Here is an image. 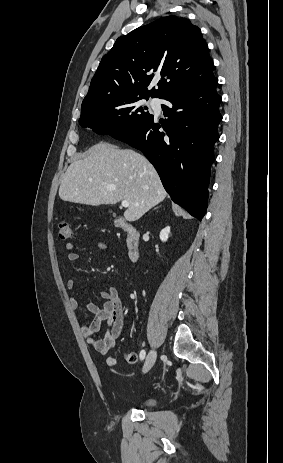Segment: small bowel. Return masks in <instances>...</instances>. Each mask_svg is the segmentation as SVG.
<instances>
[{"instance_id": "c3829d8e", "label": "small bowel", "mask_w": 283, "mask_h": 463, "mask_svg": "<svg viewBox=\"0 0 283 463\" xmlns=\"http://www.w3.org/2000/svg\"><path fill=\"white\" fill-rule=\"evenodd\" d=\"M97 246L101 250H107L108 245L103 241H98ZM67 259L69 262H76L78 254L74 251V246L71 243L66 244ZM67 287L70 290L75 289L76 280L69 279ZM102 303L100 305L87 302L85 309L92 313V318L83 323L81 331L86 339V342L100 355H108L113 348L116 339L120 336L124 326V309L121 303L118 291L109 287L102 292ZM70 305L76 310L79 307V302L76 297H70ZM106 324V332L102 339L97 338L96 334L101 325ZM106 364L110 368L118 365V360L115 357L109 356L106 359Z\"/></svg>"}]
</instances>
